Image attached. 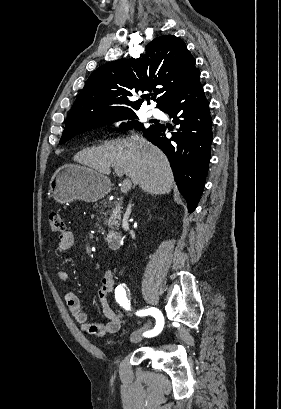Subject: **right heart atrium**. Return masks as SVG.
<instances>
[{"mask_svg": "<svg viewBox=\"0 0 281 409\" xmlns=\"http://www.w3.org/2000/svg\"><path fill=\"white\" fill-rule=\"evenodd\" d=\"M118 126H120L121 124H122V122H118V123H116Z\"/></svg>", "mask_w": 281, "mask_h": 409, "instance_id": "d8ad5b80", "label": "right heart atrium"}]
</instances>
